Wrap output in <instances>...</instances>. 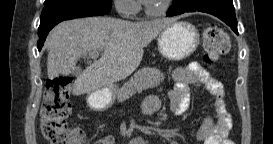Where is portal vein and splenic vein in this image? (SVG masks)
I'll return each instance as SVG.
<instances>
[{
	"label": "portal vein and splenic vein",
	"instance_id": "portal-vein-and-splenic-vein-1",
	"mask_svg": "<svg viewBox=\"0 0 273 144\" xmlns=\"http://www.w3.org/2000/svg\"><path fill=\"white\" fill-rule=\"evenodd\" d=\"M91 59L96 60L99 57V52H92L89 54Z\"/></svg>",
	"mask_w": 273,
	"mask_h": 144
}]
</instances>
